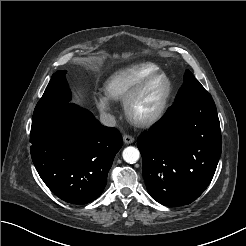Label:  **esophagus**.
I'll return each instance as SVG.
<instances>
[{
	"mask_svg": "<svg viewBox=\"0 0 246 246\" xmlns=\"http://www.w3.org/2000/svg\"><path fill=\"white\" fill-rule=\"evenodd\" d=\"M123 141L125 144H131L134 142V138L131 135H124L123 136Z\"/></svg>",
	"mask_w": 246,
	"mask_h": 246,
	"instance_id": "34e87169",
	"label": "esophagus"
}]
</instances>
